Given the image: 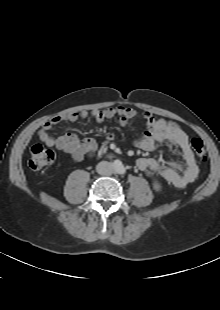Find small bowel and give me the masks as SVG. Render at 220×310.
<instances>
[{
    "instance_id": "c3829d8e",
    "label": "small bowel",
    "mask_w": 220,
    "mask_h": 310,
    "mask_svg": "<svg viewBox=\"0 0 220 310\" xmlns=\"http://www.w3.org/2000/svg\"><path fill=\"white\" fill-rule=\"evenodd\" d=\"M138 115L139 112L136 109L126 106L96 109L91 112L92 118L97 122L114 120L120 125H126ZM87 116V111L56 115L44 123L38 131V137L47 146L68 154L74 162H80L85 157H91L97 152V141L91 137L81 139L74 133L55 137L51 132L61 122H74ZM142 116L147 124V129L137 141V146L145 151H151L157 142H169L180 150L181 161L162 163L154 158L143 157L137 160L138 168L150 176L160 175L176 188H185L193 183L198 178L199 167L186 132L177 123L156 118L149 111L143 112ZM113 139V134L107 135L108 141H113Z\"/></svg>"
}]
</instances>
